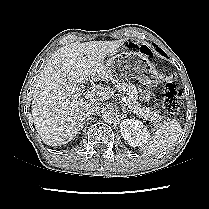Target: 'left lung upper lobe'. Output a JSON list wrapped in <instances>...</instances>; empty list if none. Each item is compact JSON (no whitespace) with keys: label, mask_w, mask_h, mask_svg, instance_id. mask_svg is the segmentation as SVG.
I'll list each match as a JSON object with an SVG mask.
<instances>
[{"label":"left lung upper lobe","mask_w":209,"mask_h":209,"mask_svg":"<svg viewBox=\"0 0 209 209\" xmlns=\"http://www.w3.org/2000/svg\"><path fill=\"white\" fill-rule=\"evenodd\" d=\"M154 47H156V50L160 53V54H162L163 56H165V53L156 45V44H154Z\"/></svg>","instance_id":"5c2ea615"}]
</instances>
